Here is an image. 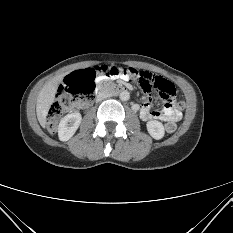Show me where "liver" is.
Masks as SVG:
<instances>
[{
  "mask_svg": "<svg viewBox=\"0 0 233 233\" xmlns=\"http://www.w3.org/2000/svg\"><path fill=\"white\" fill-rule=\"evenodd\" d=\"M64 74L58 75L48 81L37 97L36 113L37 118L42 127L46 125V116L48 115L49 109L55 100V94L59 83L63 80Z\"/></svg>",
  "mask_w": 233,
  "mask_h": 233,
  "instance_id": "obj_1",
  "label": "liver"
}]
</instances>
